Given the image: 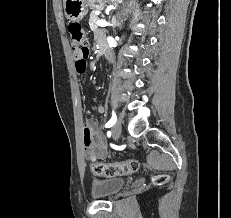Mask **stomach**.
I'll use <instances>...</instances> for the list:
<instances>
[{"instance_id":"0dacf381","label":"stomach","mask_w":231,"mask_h":218,"mask_svg":"<svg viewBox=\"0 0 231 218\" xmlns=\"http://www.w3.org/2000/svg\"><path fill=\"white\" fill-rule=\"evenodd\" d=\"M118 0H65L64 12L70 21H81L87 14L88 8L101 10L107 2L115 3Z\"/></svg>"}]
</instances>
